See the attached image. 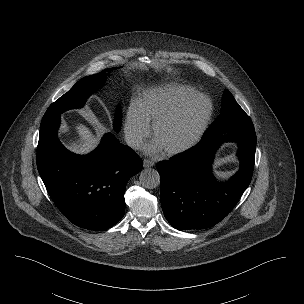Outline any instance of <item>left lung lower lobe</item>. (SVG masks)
Instances as JSON below:
<instances>
[{"label": "left lung lower lobe", "mask_w": 304, "mask_h": 304, "mask_svg": "<svg viewBox=\"0 0 304 304\" xmlns=\"http://www.w3.org/2000/svg\"><path fill=\"white\" fill-rule=\"evenodd\" d=\"M223 133H228L222 136ZM237 142L239 171L226 183L212 174L214 153L224 140ZM256 150L254 130L234 129L204 136L190 151L161 161V205L178 230L204 229L220 222L237 204L251 182Z\"/></svg>", "instance_id": "obj_1"}]
</instances>
